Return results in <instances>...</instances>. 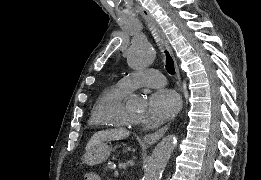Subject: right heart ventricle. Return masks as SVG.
I'll return each mask as SVG.
<instances>
[{
	"label": "right heart ventricle",
	"mask_w": 261,
	"mask_h": 180,
	"mask_svg": "<svg viewBox=\"0 0 261 180\" xmlns=\"http://www.w3.org/2000/svg\"><path fill=\"white\" fill-rule=\"evenodd\" d=\"M126 95L118 84L107 88L97 98L89 119L91 133L93 131H105V127H116V114L123 108V101ZM117 137V136H114ZM91 139H112V138H91Z\"/></svg>",
	"instance_id": "obj_1"
}]
</instances>
